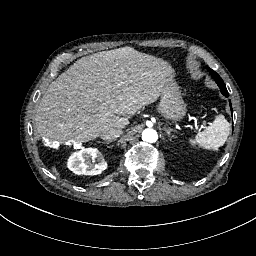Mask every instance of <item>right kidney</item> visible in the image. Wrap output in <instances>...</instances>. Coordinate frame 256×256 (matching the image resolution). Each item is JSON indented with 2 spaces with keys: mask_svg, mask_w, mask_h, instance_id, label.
<instances>
[{
  "mask_svg": "<svg viewBox=\"0 0 256 256\" xmlns=\"http://www.w3.org/2000/svg\"><path fill=\"white\" fill-rule=\"evenodd\" d=\"M96 158L98 163L94 164ZM67 166L77 175H97L107 168V163L98 149L84 148L71 154Z\"/></svg>",
  "mask_w": 256,
  "mask_h": 256,
  "instance_id": "right-kidney-1",
  "label": "right kidney"
}]
</instances>
